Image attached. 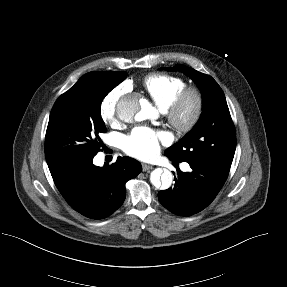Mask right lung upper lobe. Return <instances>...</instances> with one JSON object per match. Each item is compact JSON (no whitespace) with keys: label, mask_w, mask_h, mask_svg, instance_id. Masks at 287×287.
Masks as SVG:
<instances>
[{"label":"right lung upper lobe","mask_w":287,"mask_h":287,"mask_svg":"<svg viewBox=\"0 0 287 287\" xmlns=\"http://www.w3.org/2000/svg\"><path fill=\"white\" fill-rule=\"evenodd\" d=\"M107 77L115 82L121 83L127 76L126 72H112V71H107L105 72ZM56 172H53L51 174H55Z\"/></svg>","instance_id":"obj_1"}]
</instances>
